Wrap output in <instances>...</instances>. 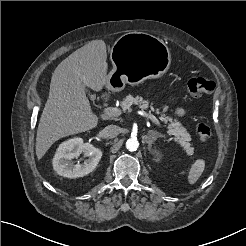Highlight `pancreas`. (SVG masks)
I'll return each instance as SVG.
<instances>
[{
	"label": "pancreas",
	"instance_id": "pancreas-1",
	"mask_svg": "<svg viewBox=\"0 0 246 246\" xmlns=\"http://www.w3.org/2000/svg\"><path fill=\"white\" fill-rule=\"evenodd\" d=\"M133 105H136L141 110H146L150 108L151 111H155L157 114H161L160 120L168 123L169 132L175 136V141L180 144L185 150H190L191 144L189 143V141L191 140V137L186 128L181 124V122H179L177 119H172V117L170 116H166L164 113H161L159 109H154L153 105H150L148 100H144L139 95H136L135 97L132 95H127L120 104L123 111H131Z\"/></svg>",
	"mask_w": 246,
	"mask_h": 246
}]
</instances>
